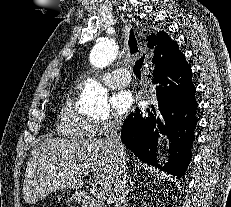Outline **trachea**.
<instances>
[{
    "label": "trachea",
    "instance_id": "3493384b",
    "mask_svg": "<svg viewBox=\"0 0 231 207\" xmlns=\"http://www.w3.org/2000/svg\"><path fill=\"white\" fill-rule=\"evenodd\" d=\"M128 45H129L131 54H136L138 52L137 40H136L135 34L132 29L130 30ZM143 61H144V56L140 57L136 61L133 67V72L137 77H141V68L143 65Z\"/></svg>",
    "mask_w": 231,
    "mask_h": 207
}]
</instances>
